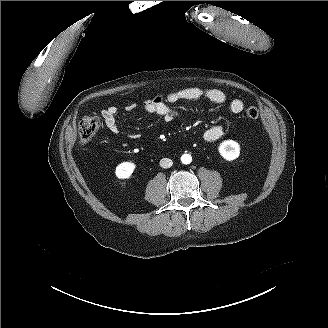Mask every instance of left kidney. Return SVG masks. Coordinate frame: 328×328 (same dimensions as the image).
I'll list each match as a JSON object with an SVG mask.
<instances>
[{
  "label": "left kidney",
  "instance_id": "left-kidney-1",
  "mask_svg": "<svg viewBox=\"0 0 328 328\" xmlns=\"http://www.w3.org/2000/svg\"><path fill=\"white\" fill-rule=\"evenodd\" d=\"M218 149L220 154L229 161L236 159L240 153L239 144L233 140L222 142Z\"/></svg>",
  "mask_w": 328,
  "mask_h": 328
}]
</instances>
